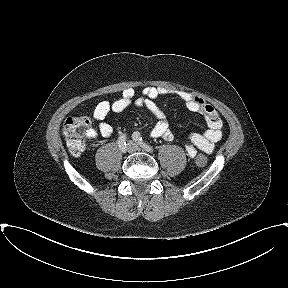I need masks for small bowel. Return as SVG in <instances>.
Returning a JSON list of instances; mask_svg holds the SVG:
<instances>
[{"label": "small bowel", "mask_w": 288, "mask_h": 288, "mask_svg": "<svg viewBox=\"0 0 288 288\" xmlns=\"http://www.w3.org/2000/svg\"><path fill=\"white\" fill-rule=\"evenodd\" d=\"M169 91L162 87H146L139 96L133 88L124 89L119 98L110 101L99 102L93 112L94 117L99 121L97 130L91 131V136L98 135L109 137L113 133L110 124L104 121L110 112L120 113L128 107H145L156 119L157 123L151 130V136L162 138L165 141L173 142L177 138L170 130L165 113L157 104L159 97L168 94ZM177 96L184 102L188 110L201 114L206 122L207 130L203 134L191 133L187 136L185 149L189 157L194 158L197 152L203 151L212 153L216 143L222 138L223 123L217 110L202 98L187 92H177Z\"/></svg>", "instance_id": "1"}]
</instances>
